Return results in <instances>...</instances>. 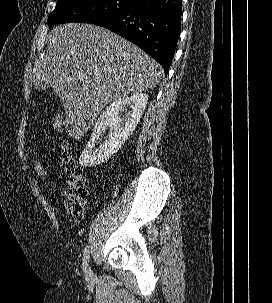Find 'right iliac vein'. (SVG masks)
Instances as JSON below:
<instances>
[{
  "label": "right iliac vein",
  "mask_w": 272,
  "mask_h": 303,
  "mask_svg": "<svg viewBox=\"0 0 272 303\" xmlns=\"http://www.w3.org/2000/svg\"><path fill=\"white\" fill-rule=\"evenodd\" d=\"M93 272H92V270H91V268H89L87 271H86V277H87V279H89V280H91V279H93Z\"/></svg>",
  "instance_id": "obj_1"
}]
</instances>
